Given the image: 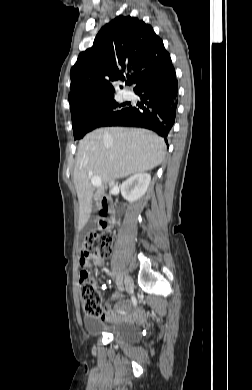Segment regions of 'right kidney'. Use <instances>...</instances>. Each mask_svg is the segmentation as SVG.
<instances>
[{
    "label": "right kidney",
    "instance_id": "obj_1",
    "mask_svg": "<svg viewBox=\"0 0 252 390\" xmlns=\"http://www.w3.org/2000/svg\"><path fill=\"white\" fill-rule=\"evenodd\" d=\"M150 181L151 176L148 173L134 174L122 183L121 194L129 203H133L146 193Z\"/></svg>",
    "mask_w": 252,
    "mask_h": 390
}]
</instances>
